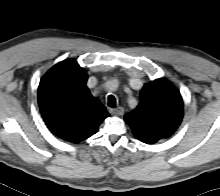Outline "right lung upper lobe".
<instances>
[{
  "label": "right lung upper lobe",
  "instance_id": "cb5924a9",
  "mask_svg": "<svg viewBox=\"0 0 220 196\" xmlns=\"http://www.w3.org/2000/svg\"><path fill=\"white\" fill-rule=\"evenodd\" d=\"M88 75L76 60L67 59L41 79L38 103L49 129L59 138L79 143L95 134L109 116L86 86Z\"/></svg>",
  "mask_w": 220,
  "mask_h": 196
}]
</instances>
